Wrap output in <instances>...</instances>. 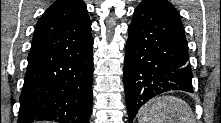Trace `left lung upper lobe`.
Instances as JSON below:
<instances>
[{"label": "left lung upper lobe", "mask_w": 221, "mask_h": 123, "mask_svg": "<svg viewBox=\"0 0 221 123\" xmlns=\"http://www.w3.org/2000/svg\"><path fill=\"white\" fill-rule=\"evenodd\" d=\"M146 1H149L152 5L156 6L162 12L169 14L172 17L180 20L178 12L173 7V5L167 0H146Z\"/></svg>", "instance_id": "left-lung-upper-lobe-1"}]
</instances>
